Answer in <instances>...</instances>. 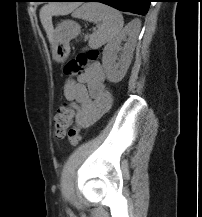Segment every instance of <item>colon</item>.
Returning a JSON list of instances; mask_svg holds the SVG:
<instances>
[{"label":"colon","instance_id":"5ec220e1","mask_svg":"<svg viewBox=\"0 0 202 217\" xmlns=\"http://www.w3.org/2000/svg\"><path fill=\"white\" fill-rule=\"evenodd\" d=\"M98 58V51L90 50L86 53L77 55L74 59L68 61L64 66V74L75 76L80 74L83 69L92 61ZM73 110L67 106H61L54 115V135L57 139H63L66 135L72 145H77L81 140V129L72 127Z\"/></svg>","mask_w":202,"mask_h":217}]
</instances>
